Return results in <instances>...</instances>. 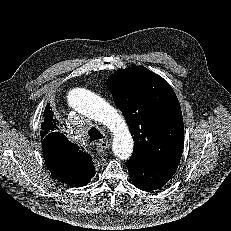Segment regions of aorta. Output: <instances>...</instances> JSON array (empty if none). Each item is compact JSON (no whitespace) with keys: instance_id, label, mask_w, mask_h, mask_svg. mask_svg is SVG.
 I'll use <instances>...</instances> for the list:
<instances>
[{"instance_id":"obj_1","label":"aorta","mask_w":231,"mask_h":231,"mask_svg":"<svg viewBox=\"0 0 231 231\" xmlns=\"http://www.w3.org/2000/svg\"><path fill=\"white\" fill-rule=\"evenodd\" d=\"M69 105L107 127L113 135L112 149L118 158L127 160L133 152V139L123 116L103 98L85 88H74L67 95Z\"/></svg>"}]
</instances>
